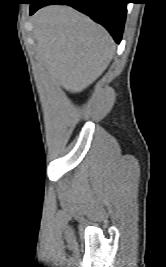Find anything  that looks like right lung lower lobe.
<instances>
[{"label": "right lung lower lobe", "mask_w": 166, "mask_h": 267, "mask_svg": "<svg viewBox=\"0 0 166 267\" xmlns=\"http://www.w3.org/2000/svg\"><path fill=\"white\" fill-rule=\"evenodd\" d=\"M127 0H33L30 15L49 4H66L87 14L94 21L103 25L116 43L122 38Z\"/></svg>", "instance_id": "right-lung-lower-lobe-1"}]
</instances>
